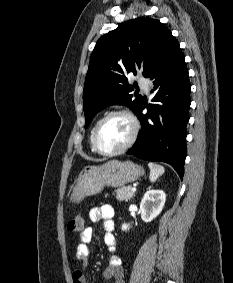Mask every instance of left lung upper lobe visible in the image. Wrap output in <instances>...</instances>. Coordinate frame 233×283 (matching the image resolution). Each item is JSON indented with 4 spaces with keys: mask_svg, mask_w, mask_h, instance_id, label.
Listing matches in <instances>:
<instances>
[{
    "mask_svg": "<svg viewBox=\"0 0 233 283\" xmlns=\"http://www.w3.org/2000/svg\"><path fill=\"white\" fill-rule=\"evenodd\" d=\"M177 43L171 31L152 18L126 21L103 35L92 52L85 79V128L107 105H125L136 113L143 100L130 94L133 86L126 75L141 70L148 78Z\"/></svg>",
    "mask_w": 233,
    "mask_h": 283,
    "instance_id": "1",
    "label": "left lung upper lobe"
}]
</instances>
